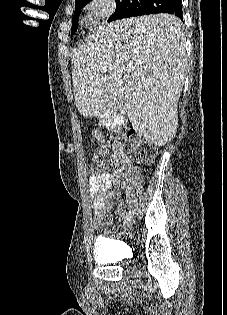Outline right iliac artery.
Listing matches in <instances>:
<instances>
[{"label": "right iliac artery", "mask_w": 227, "mask_h": 315, "mask_svg": "<svg viewBox=\"0 0 227 315\" xmlns=\"http://www.w3.org/2000/svg\"><path fill=\"white\" fill-rule=\"evenodd\" d=\"M135 213V210L129 211L128 214L126 215V218L131 217Z\"/></svg>", "instance_id": "1"}]
</instances>
